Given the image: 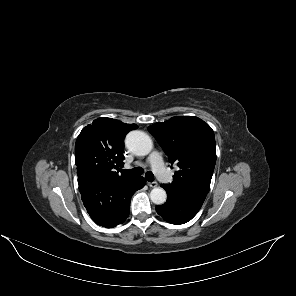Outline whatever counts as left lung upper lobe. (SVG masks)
I'll return each instance as SVG.
<instances>
[{
	"instance_id": "1",
	"label": "left lung upper lobe",
	"mask_w": 296,
	"mask_h": 296,
	"mask_svg": "<svg viewBox=\"0 0 296 296\" xmlns=\"http://www.w3.org/2000/svg\"><path fill=\"white\" fill-rule=\"evenodd\" d=\"M148 130L157 139L169 161L179 170L166 191L206 197L216 163L215 137L211 127L193 116H176Z\"/></svg>"
}]
</instances>
